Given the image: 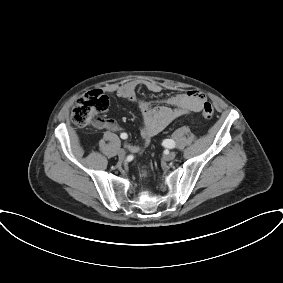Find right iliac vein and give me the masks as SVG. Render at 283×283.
<instances>
[{"label": "right iliac vein", "instance_id": "obj_1", "mask_svg": "<svg viewBox=\"0 0 283 283\" xmlns=\"http://www.w3.org/2000/svg\"><path fill=\"white\" fill-rule=\"evenodd\" d=\"M118 156L120 159H124L126 157V151L124 149H120L118 151Z\"/></svg>", "mask_w": 283, "mask_h": 283}]
</instances>
